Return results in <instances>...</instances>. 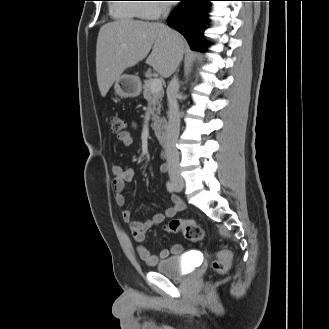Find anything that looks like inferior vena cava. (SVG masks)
I'll list each match as a JSON object with an SVG mask.
<instances>
[{
	"instance_id": "1",
	"label": "inferior vena cava",
	"mask_w": 329,
	"mask_h": 329,
	"mask_svg": "<svg viewBox=\"0 0 329 329\" xmlns=\"http://www.w3.org/2000/svg\"><path fill=\"white\" fill-rule=\"evenodd\" d=\"M170 8H163V19H166ZM161 26H165L163 23H159ZM179 90L178 78L174 76L167 87V100H168V126L165 138V151L167 157V164L169 169V177L171 179L180 178L179 167V153L176 149V143L179 137L180 131V113L177 101V94Z\"/></svg>"
}]
</instances>
